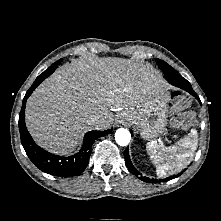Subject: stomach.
Returning <instances> with one entry per match:
<instances>
[{
  "instance_id": "stomach-1",
  "label": "stomach",
  "mask_w": 221,
  "mask_h": 221,
  "mask_svg": "<svg viewBox=\"0 0 221 221\" xmlns=\"http://www.w3.org/2000/svg\"><path fill=\"white\" fill-rule=\"evenodd\" d=\"M169 94L167 91L153 96L134 107L125 110L121 118L137 127L141 137L153 139L162 134L167 124V103Z\"/></svg>"
}]
</instances>
